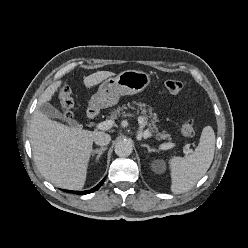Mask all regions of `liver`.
Listing matches in <instances>:
<instances>
[{"mask_svg": "<svg viewBox=\"0 0 248 248\" xmlns=\"http://www.w3.org/2000/svg\"><path fill=\"white\" fill-rule=\"evenodd\" d=\"M113 72L98 71L84 78L87 88L99 84ZM56 81L46 88L39 98L33 114L29 138L35 165L41 175L57 187L80 190L83 188L94 137L98 131L69 127L53 121L39 108L52 99L61 86Z\"/></svg>", "mask_w": 248, "mask_h": 248, "instance_id": "liver-1", "label": "liver"}]
</instances>
